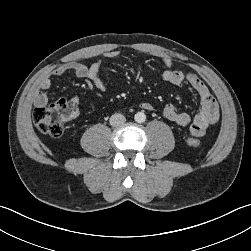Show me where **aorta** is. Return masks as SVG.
Listing matches in <instances>:
<instances>
[{
    "label": "aorta",
    "mask_w": 251,
    "mask_h": 251,
    "mask_svg": "<svg viewBox=\"0 0 251 251\" xmlns=\"http://www.w3.org/2000/svg\"><path fill=\"white\" fill-rule=\"evenodd\" d=\"M134 119L137 123H143L146 120V115L143 112L135 114Z\"/></svg>",
    "instance_id": "1"
}]
</instances>
